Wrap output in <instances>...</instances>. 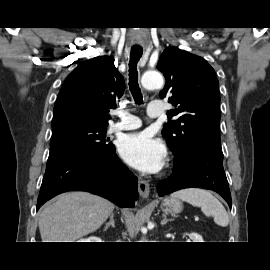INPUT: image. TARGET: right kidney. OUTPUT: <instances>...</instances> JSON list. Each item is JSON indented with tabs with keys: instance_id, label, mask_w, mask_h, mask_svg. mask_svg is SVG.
<instances>
[{
	"instance_id": "1",
	"label": "right kidney",
	"mask_w": 270,
	"mask_h": 270,
	"mask_svg": "<svg viewBox=\"0 0 270 270\" xmlns=\"http://www.w3.org/2000/svg\"><path fill=\"white\" fill-rule=\"evenodd\" d=\"M78 242H102V240L99 237L90 236L88 238L78 240Z\"/></svg>"
}]
</instances>
